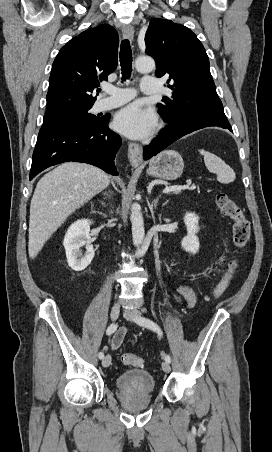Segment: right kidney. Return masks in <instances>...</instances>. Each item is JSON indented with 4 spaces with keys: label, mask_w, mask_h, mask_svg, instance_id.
I'll list each match as a JSON object with an SVG mask.
<instances>
[{
    "label": "right kidney",
    "mask_w": 272,
    "mask_h": 452,
    "mask_svg": "<svg viewBox=\"0 0 272 452\" xmlns=\"http://www.w3.org/2000/svg\"><path fill=\"white\" fill-rule=\"evenodd\" d=\"M89 219H81L74 222L64 237L63 245L66 251L68 265L74 271L84 270L92 261L95 251L91 245ZM86 245V252L83 255L80 248Z\"/></svg>",
    "instance_id": "1"
}]
</instances>
